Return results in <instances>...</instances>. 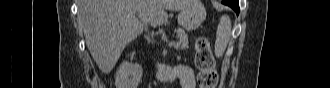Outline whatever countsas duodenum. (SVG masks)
<instances>
[{"label": "duodenum", "instance_id": "duodenum-1", "mask_svg": "<svg viewBox=\"0 0 330 88\" xmlns=\"http://www.w3.org/2000/svg\"><path fill=\"white\" fill-rule=\"evenodd\" d=\"M169 69L168 66H156L154 68V71L159 79L163 80H172V78L169 75Z\"/></svg>", "mask_w": 330, "mask_h": 88}]
</instances>
